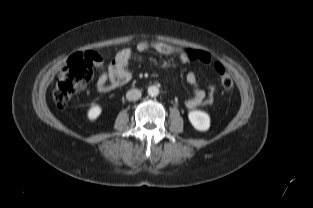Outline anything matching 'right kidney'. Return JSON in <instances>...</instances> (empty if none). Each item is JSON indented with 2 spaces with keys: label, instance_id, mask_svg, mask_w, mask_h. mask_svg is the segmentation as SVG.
<instances>
[{
  "label": "right kidney",
  "instance_id": "right-kidney-1",
  "mask_svg": "<svg viewBox=\"0 0 313 208\" xmlns=\"http://www.w3.org/2000/svg\"><path fill=\"white\" fill-rule=\"evenodd\" d=\"M101 111L102 109L100 106L94 105L88 110L87 116L91 121H93L99 117Z\"/></svg>",
  "mask_w": 313,
  "mask_h": 208
}]
</instances>
